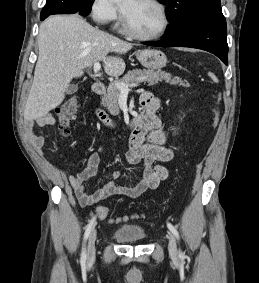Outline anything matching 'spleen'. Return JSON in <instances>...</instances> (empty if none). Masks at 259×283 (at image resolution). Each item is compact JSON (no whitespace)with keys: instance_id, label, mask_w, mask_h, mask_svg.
<instances>
[{"instance_id":"spleen-1","label":"spleen","mask_w":259,"mask_h":283,"mask_svg":"<svg viewBox=\"0 0 259 283\" xmlns=\"http://www.w3.org/2000/svg\"><path fill=\"white\" fill-rule=\"evenodd\" d=\"M210 76H211L212 78H214V75H213V74H210Z\"/></svg>"}]
</instances>
